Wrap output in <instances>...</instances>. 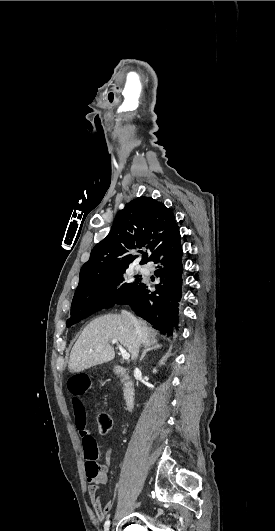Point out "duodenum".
Segmentation results:
<instances>
[{
  "mask_svg": "<svg viewBox=\"0 0 275 531\" xmlns=\"http://www.w3.org/2000/svg\"><path fill=\"white\" fill-rule=\"evenodd\" d=\"M114 372L121 378L124 379L123 383V397H124V404L127 411H131L134 407L135 398H136V390L135 385L132 382V380L129 378V368L117 365L114 367Z\"/></svg>",
  "mask_w": 275,
  "mask_h": 531,
  "instance_id": "410a0bca",
  "label": "duodenum"
}]
</instances>
